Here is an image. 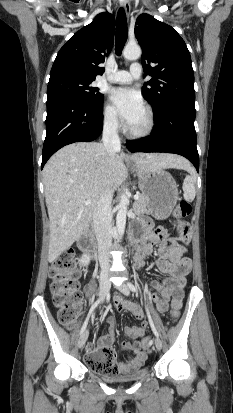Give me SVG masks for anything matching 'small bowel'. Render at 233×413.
Instances as JSON below:
<instances>
[{
	"mask_svg": "<svg viewBox=\"0 0 233 413\" xmlns=\"http://www.w3.org/2000/svg\"><path fill=\"white\" fill-rule=\"evenodd\" d=\"M142 227L145 230V234L141 245L137 248V252L140 256V265L143 264V261L147 256L153 254L154 245H157V255L159 258L156 261V266L160 272L168 275L162 281H159L156 278L152 279L151 286L155 290V293L152 296V301L156 304L158 311L161 313L167 311L171 298L172 306L178 305L180 307L183 296L182 289L186 282V275L191 269L190 259L183 257L187 251L186 245L190 240V231L187 227L186 231L181 232L180 241L182 244H178L169 237L165 227L152 229V225L148 220L142 222ZM93 293L94 285L90 284L86 289V295L91 299ZM115 306L119 311H129L140 322L138 327L125 328L126 334L131 337L133 341H124L121 346L122 348L131 351L133 356L126 361L117 362L119 371H124L128 368L141 366L146 360L147 352L144 350L139 339L145 334L148 325L144 313L138 304L122 297H117ZM106 322L109 328L108 333L100 338L98 345H90L87 348L85 359L88 356L97 357L101 349H111L112 344L115 342V320L113 317H108Z\"/></svg>",
	"mask_w": 233,
	"mask_h": 413,
	"instance_id": "1",
	"label": "small bowel"
}]
</instances>
